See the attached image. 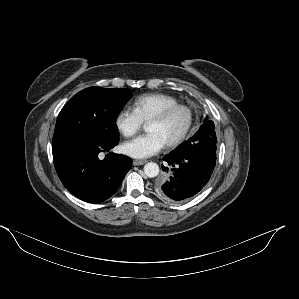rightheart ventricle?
I'll return each mask as SVG.
<instances>
[{
  "label": "right heart ventricle",
  "mask_w": 299,
  "mask_h": 299,
  "mask_svg": "<svg viewBox=\"0 0 299 299\" xmlns=\"http://www.w3.org/2000/svg\"><path fill=\"white\" fill-rule=\"evenodd\" d=\"M179 104V100L166 93H148L138 96L133 101V110L143 123L166 107Z\"/></svg>",
  "instance_id": "right-heart-ventricle-1"
}]
</instances>
